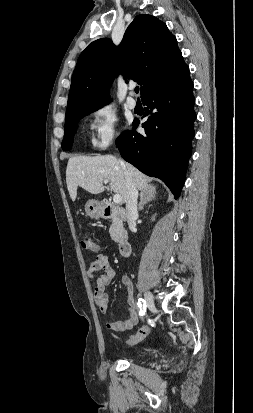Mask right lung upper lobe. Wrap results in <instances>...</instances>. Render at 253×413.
<instances>
[{
  "mask_svg": "<svg viewBox=\"0 0 253 413\" xmlns=\"http://www.w3.org/2000/svg\"><path fill=\"white\" fill-rule=\"evenodd\" d=\"M187 67L166 24L151 15H138L118 47L102 38L81 53L72 75L65 121L107 104L109 86L119 72L125 80L141 85L142 98L176 79Z\"/></svg>",
  "mask_w": 253,
  "mask_h": 413,
  "instance_id": "cb5924a9",
  "label": "right lung upper lobe"
}]
</instances>
